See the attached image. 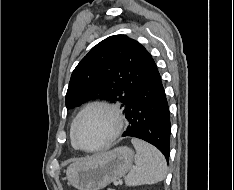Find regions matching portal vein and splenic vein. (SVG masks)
<instances>
[{
  "label": "portal vein and splenic vein",
  "instance_id": "portal-vein-and-splenic-vein-1",
  "mask_svg": "<svg viewBox=\"0 0 234 190\" xmlns=\"http://www.w3.org/2000/svg\"><path fill=\"white\" fill-rule=\"evenodd\" d=\"M115 185H118V182H115Z\"/></svg>",
  "mask_w": 234,
  "mask_h": 190
}]
</instances>
